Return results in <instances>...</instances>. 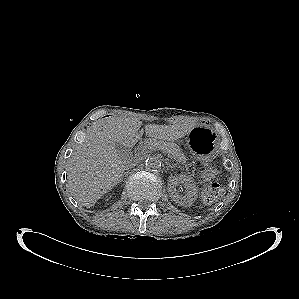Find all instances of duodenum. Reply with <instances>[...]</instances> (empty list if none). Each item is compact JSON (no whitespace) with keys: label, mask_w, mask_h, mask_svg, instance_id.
Here are the masks:
<instances>
[{"label":"duodenum","mask_w":299,"mask_h":299,"mask_svg":"<svg viewBox=\"0 0 299 299\" xmlns=\"http://www.w3.org/2000/svg\"><path fill=\"white\" fill-rule=\"evenodd\" d=\"M137 145H138V143L134 144V148H136V147H137Z\"/></svg>","instance_id":"1"}]
</instances>
